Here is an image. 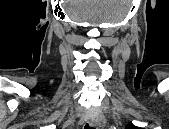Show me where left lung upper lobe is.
<instances>
[{
	"label": "left lung upper lobe",
	"mask_w": 169,
	"mask_h": 129,
	"mask_svg": "<svg viewBox=\"0 0 169 129\" xmlns=\"http://www.w3.org/2000/svg\"><path fill=\"white\" fill-rule=\"evenodd\" d=\"M126 128H127V129H133V128H136V127L133 126V125H129V126H127Z\"/></svg>",
	"instance_id": "5c2ea615"
}]
</instances>
